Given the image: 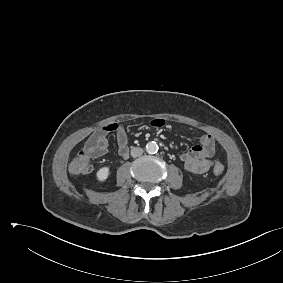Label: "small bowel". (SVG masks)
Returning <instances> with one entry per match:
<instances>
[{"label": "small bowel", "mask_w": 283, "mask_h": 283, "mask_svg": "<svg viewBox=\"0 0 283 283\" xmlns=\"http://www.w3.org/2000/svg\"><path fill=\"white\" fill-rule=\"evenodd\" d=\"M154 127H162L163 119L156 118L151 122ZM114 132L117 138V154L126 158L129 154L128 137L125 127L120 123H109L96 130L86 141L85 150L93 158L102 157L110 152L108 135ZM215 154V141L211 135L201 137L199 143L180 155L184 168L195 174L207 172L212 166Z\"/></svg>", "instance_id": "1"}]
</instances>
